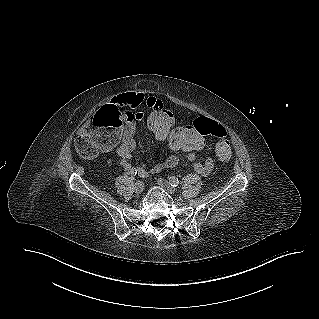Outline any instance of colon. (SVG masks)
Returning a JSON list of instances; mask_svg holds the SVG:
<instances>
[{
  "label": "colon",
  "instance_id": "colon-1",
  "mask_svg": "<svg viewBox=\"0 0 319 319\" xmlns=\"http://www.w3.org/2000/svg\"><path fill=\"white\" fill-rule=\"evenodd\" d=\"M145 120L153 138L170 151H187L193 154L203 151L207 140L205 135H198V130L217 141L215 152L220 161L225 162L231 158L232 150L226 140V128L206 116L196 117L193 126L179 128L176 114L170 108L168 113H151L148 110ZM74 145L77 153L84 159L91 160L99 154V151L90 145L88 136L77 138Z\"/></svg>",
  "mask_w": 319,
  "mask_h": 319
}]
</instances>
